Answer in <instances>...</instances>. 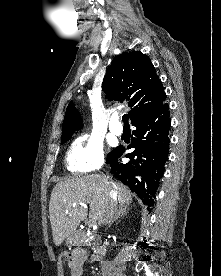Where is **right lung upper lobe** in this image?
Returning <instances> with one entry per match:
<instances>
[{"mask_svg":"<svg viewBox=\"0 0 221 276\" xmlns=\"http://www.w3.org/2000/svg\"><path fill=\"white\" fill-rule=\"evenodd\" d=\"M102 89L108 100L129 101L131 123L158 110L166 99L150 58L139 51L125 52L114 58L104 76ZM82 127L80 113L70 102L63 121L61 141L69 140Z\"/></svg>","mask_w":221,"mask_h":276,"instance_id":"cb5924a9","label":"right lung upper lobe"}]
</instances>
